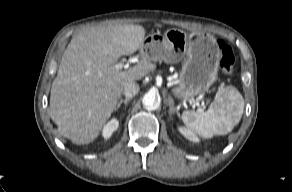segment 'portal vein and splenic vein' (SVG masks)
Listing matches in <instances>:
<instances>
[{
    "mask_svg": "<svg viewBox=\"0 0 292 192\" xmlns=\"http://www.w3.org/2000/svg\"><path fill=\"white\" fill-rule=\"evenodd\" d=\"M123 67H124V64L123 63H117V64H115V69H117V70H120Z\"/></svg>",
    "mask_w": 292,
    "mask_h": 192,
    "instance_id": "18ae733b",
    "label": "portal vein and splenic vein"
}]
</instances>
